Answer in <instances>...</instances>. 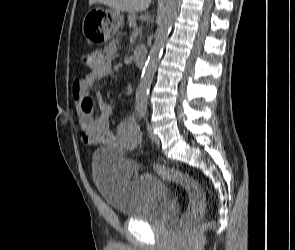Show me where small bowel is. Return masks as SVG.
<instances>
[{
  "instance_id": "c3829d8e",
  "label": "small bowel",
  "mask_w": 295,
  "mask_h": 250,
  "mask_svg": "<svg viewBox=\"0 0 295 250\" xmlns=\"http://www.w3.org/2000/svg\"><path fill=\"white\" fill-rule=\"evenodd\" d=\"M92 54V63L88 66L91 71L83 79L75 80L73 84V98L78 115V125L82 133V140L87 146L106 145L124 150H133L140 138L138 127L134 120L128 119L118 127L117 135L110 129L109 118L113 112V105L106 103L98 89V83L112 73V61L116 57L117 47L108 45L104 50H96ZM94 93L100 113L94 114ZM135 160L126 161L125 170H136Z\"/></svg>"
}]
</instances>
